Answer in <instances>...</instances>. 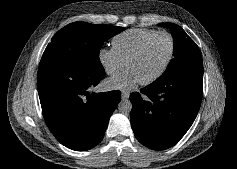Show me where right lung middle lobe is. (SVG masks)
<instances>
[{"mask_svg": "<svg viewBox=\"0 0 237 169\" xmlns=\"http://www.w3.org/2000/svg\"><path fill=\"white\" fill-rule=\"evenodd\" d=\"M124 29L86 22L71 23L53 36L40 64H57L86 70L101 69L100 48L106 40Z\"/></svg>", "mask_w": 237, "mask_h": 169, "instance_id": "right-lung-middle-lobe-1", "label": "right lung middle lobe"}]
</instances>
